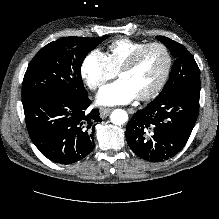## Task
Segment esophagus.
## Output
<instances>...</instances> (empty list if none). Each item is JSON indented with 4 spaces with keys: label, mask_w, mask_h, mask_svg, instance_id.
<instances>
[{
    "label": "esophagus",
    "mask_w": 219,
    "mask_h": 219,
    "mask_svg": "<svg viewBox=\"0 0 219 219\" xmlns=\"http://www.w3.org/2000/svg\"><path fill=\"white\" fill-rule=\"evenodd\" d=\"M111 111H112L111 108H101L100 110L101 118L105 119L111 113Z\"/></svg>",
    "instance_id": "1"
}]
</instances>
